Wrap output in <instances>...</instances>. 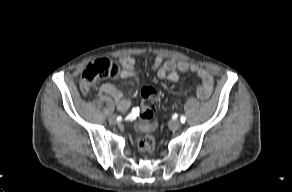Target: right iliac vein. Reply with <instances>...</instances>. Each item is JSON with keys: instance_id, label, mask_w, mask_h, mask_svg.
I'll return each instance as SVG.
<instances>
[{"instance_id": "right-iliac-vein-1", "label": "right iliac vein", "mask_w": 292, "mask_h": 192, "mask_svg": "<svg viewBox=\"0 0 292 192\" xmlns=\"http://www.w3.org/2000/svg\"><path fill=\"white\" fill-rule=\"evenodd\" d=\"M109 121H110V123H116V121H117L116 116H114V115L110 116Z\"/></svg>"}]
</instances>
